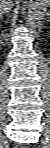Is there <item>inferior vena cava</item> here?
I'll return each instance as SVG.
<instances>
[{"label":"inferior vena cava","mask_w":50,"mask_h":148,"mask_svg":"<svg viewBox=\"0 0 50 148\" xmlns=\"http://www.w3.org/2000/svg\"><path fill=\"white\" fill-rule=\"evenodd\" d=\"M11 3V0H4L1 6V9H5L6 7H9Z\"/></svg>","instance_id":"1"}]
</instances>
